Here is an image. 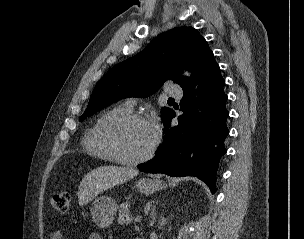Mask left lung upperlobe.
I'll return each instance as SVG.
<instances>
[{"instance_id":"5c2ea615","label":"left lung upper lobe","mask_w":304,"mask_h":239,"mask_svg":"<svg viewBox=\"0 0 304 239\" xmlns=\"http://www.w3.org/2000/svg\"><path fill=\"white\" fill-rule=\"evenodd\" d=\"M212 54L206 40L192 27H178L158 35L143 51L115 65L95 86L80 121L127 97H147L165 81L190 86ZM187 69L189 79L181 74ZM172 109L163 107L162 118Z\"/></svg>"}]
</instances>
